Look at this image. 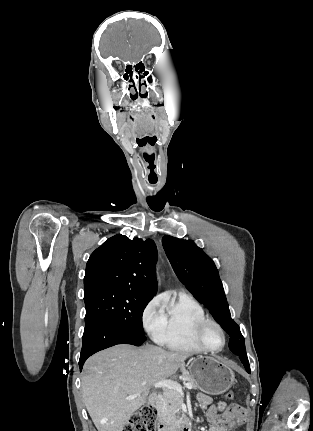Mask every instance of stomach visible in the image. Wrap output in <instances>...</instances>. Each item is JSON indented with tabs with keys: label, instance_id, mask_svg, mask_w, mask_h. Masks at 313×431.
<instances>
[{
	"label": "stomach",
	"instance_id": "obj_1",
	"mask_svg": "<svg viewBox=\"0 0 313 431\" xmlns=\"http://www.w3.org/2000/svg\"><path fill=\"white\" fill-rule=\"evenodd\" d=\"M188 370L199 388L210 395L222 394L235 383L233 370L226 363L214 357L193 358Z\"/></svg>",
	"mask_w": 313,
	"mask_h": 431
}]
</instances>
